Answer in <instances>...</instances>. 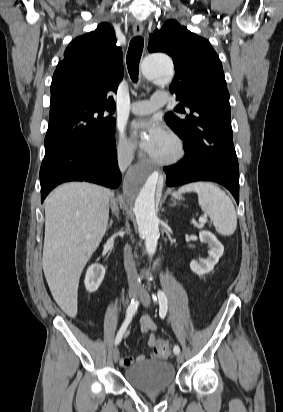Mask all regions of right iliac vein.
I'll list each match as a JSON object with an SVG mask.
<instances>
[{"instance_id":"63e3f726","label":"right iliac vein","mask_w":283,"mask_h":412,"mask_svg":"<svg viewBox=\"0 0 283 412\" xmlns=\"http://www.w3.org/2000/svg\"><path fill=\"white\" fill-rule=\"evenodd\" d=\"M139 294H140V290L137 289V288H131V289L129 290V298H130V299H135ZM112 358H113V361H114L115 363H116V362L118 361V359H119V350H118L117 347H115V348L112 350Z\"/></svg>"}]
</instances>
